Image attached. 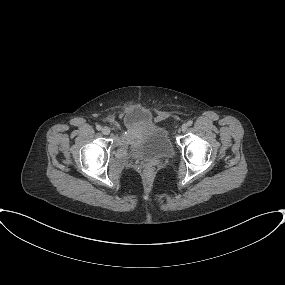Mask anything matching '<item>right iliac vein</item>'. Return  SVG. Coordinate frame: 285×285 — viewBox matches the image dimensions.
Masks as SVG:
<instances>
[{"mask_svg":"<svg viewBox=\"0 0 285 285\" xmlns=\"http://www.w3.org/2000/svg\"><path fill=\"white\" fill-rule=\"evenodd\" d=\"M101 132L104 134V135H109L110 134V128L109 127H103L101 129Z\"/></svg>","mask_w":285,"mask_h":285,"instance_id":"1","label":"right iliac vein"}]
</instances>
